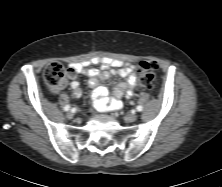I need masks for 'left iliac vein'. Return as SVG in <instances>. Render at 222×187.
I'll return each mask as SVG.
<instances>
[{
	"label": "left iliac vein",
	"mask_w": 222,
	"mask_h": 187,
	"mask_svg": "<svg viewBox=\"0 0 222 187\" xmlns=\"http://www.w3.org/2000/svg\"><path fill=\"white\" fill-rule=\"evenodd\" d=\"M137 118H138V115L135 114V113L128 114V115L125 116V120H126L127 122H134V121L137 120Z\"/></svg>",
	"instance_id": "left-iliac-vein-1"
}]
</instances>
